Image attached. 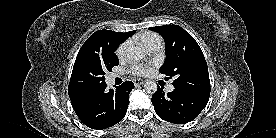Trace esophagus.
I'll list each match as a JSON object with an SVG mask.
<instances>
[{"instance_id":"esophagus-1","label":"esophagus","mask_w":276,"mask_h":138,"mask_svg":"<svg viewBox=\"0 0 276 138\" xmlns=\"http://www.w3.org/2000/svg\"><path fill=\"white\" fill-rule=\"evenodd\" d=\"M145 83V81L144 80H141V79H135L134 80V84L135 85H142V84H144Z\"/></svg>"}]
</instances>
